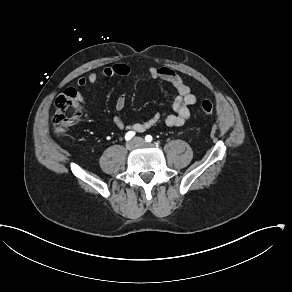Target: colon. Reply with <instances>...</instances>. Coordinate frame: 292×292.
Returning <instances> with one entry per match:
<instances>
[{
  "label": "colon",
  "mask_w": 292,
  "mask_h": 292,
  "mask_svg": "<svg viewBox=\"0 0 292 292\" xmlns=\"http://www.w3.org/2000/svg\"><path fill=\"white\" fill-rule=\"evenodd\" d=\"M201 111L204 115H211L213 104L211 100H204L201 103ZM83 115V106L78 98L77 91L73 88L65 89L55 101L53 115L54 131L61 134L71 125L79 122Z\"/></svg>",
  "instance_id": "colon-1"
}]
</instances>
